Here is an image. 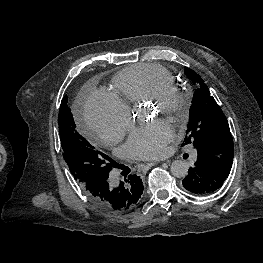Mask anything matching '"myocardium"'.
Here are the masks:
<instances>
[{"label":"myocardium","instance_id":"obj_1","mask_svg":"<svg viewBox=\"0 0 263 263\" xmlns=\"http://www.w3.org/2000/svg\"><path fill=\"white\" fill-rule=\"evenodd\" d=\"M147 100L161 114L170 118H177L189 107L190 95L175 84L166 83L158 87Z\"/></svg>","mask_w":263,"mask_h":263}]
</instances>
